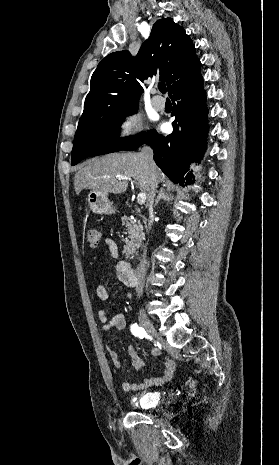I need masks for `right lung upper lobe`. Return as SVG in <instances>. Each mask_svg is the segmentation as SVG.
<instances>
[{
  "mask_svg": "<svg viewBox=\"0 0 279 465\" xmlns=\"http://www.w3.org/2000/svg\"><path fill=\"white\" fill-rule=\"evenodd\" d=\"M201 63L192 40L171 18L158 20L135 57L128 51L106 56L94 71L90 92L79 125L96 120L103 112L138 107L140 82L159 76L171 95L185 82L200 74Z\"/></svg>",
  "mask_w": 279,
  "mask_h": 465,
  "instance_id": "obj_1",
  "label": "right lung upper lobe"
}]
</instances>
